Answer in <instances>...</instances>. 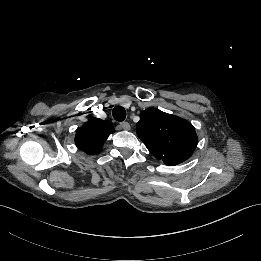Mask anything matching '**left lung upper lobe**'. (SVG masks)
<instances>
[{
  "label": "left lung upper lobe",
  "instance_id": "left-lung-upper-lobe-1",
  "mask_svg": "<svg viewBox=\"0 0 261 261\" xmlns=\"http://www.w3.org/2000/svg\"><path fill=\"white\" fill-rule=\"evenodd\" d=\"M136 133L154 157L171 166L187 160L198 142L187 120L156 108L142 112Z\"/></svg>",
  "mask_w": 261,
  "mask_h": 261
}]
</instances>
